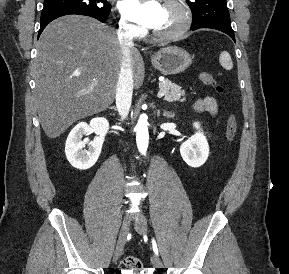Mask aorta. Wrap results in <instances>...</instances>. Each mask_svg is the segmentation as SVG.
<instances>
[{"mask_svg":"<svg viewBox=\"0 0 289 274\" xmlns=\"http://www.w3.org/2000/svg\"><path fill=\"white\" fill-rule=\"evenodd\" d=\"M135 129H136V142L138 150L141 154H145L149 142L147 117L143 115L140 116Z\"/></svg>","mask_w":289,"mask_h":274,"instance_id":"762f6f07","label":"aorta"}]
</instances>
